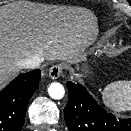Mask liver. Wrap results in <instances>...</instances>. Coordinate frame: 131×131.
<instances>
[{
    "label": "liver",
    "instance_id": "liver-1",
    "mask_svg": "<svg viewBox=\"0 0 131 131\" xmlns=\"http://www.w3.org/2000/svg\"><path fill=\"white\" fill-rule=\"evenodd\" d=\"M98 33L95 16L35 4L0 7V89L19 70L17 63L39 55L51 61L71 60Z\"/></svg>",
    "mask_w": 131,
    "mask_h": 131
}]
</instances>
